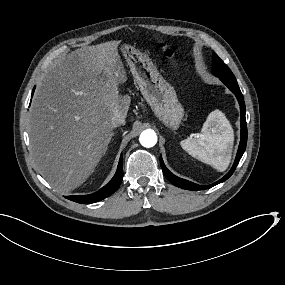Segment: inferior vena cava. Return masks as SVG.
<instances>
[{"instance_id": "1", "label": "inferior vena cava", "mask_w": 285, "mask_h": 285, "mask_svg": "<svg viewBox=\"0 0 285 285\" xmlns=\"http://www.w3.org/2000/svg\"><path fill=\"white\" fill-rule=\"evenodd\" d=\"M112 126L116 127L119 125L125 124V117L118 111L114 112L112 120H111Z\"/></svg>"}]
</instances>
